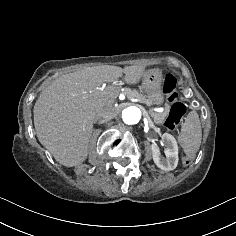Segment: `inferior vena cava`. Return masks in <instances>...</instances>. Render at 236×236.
<instances>
[{
	"instance_id": "1",
	"label": "inferior vena cava",
	"mask_w": 236,
	"mask_h": 236,
	"mask_svg": "<svg viewBox=\"0 0 236 236\" xmlns=\"http://www.w3.org/2000/svg\"><path fill=\"white\" fill-rule=\"evenodd\" d=\"M93 116L94 117H99L100 116V111L99 110H94L93 111Z\"/></svg>"
}]
</instances>
